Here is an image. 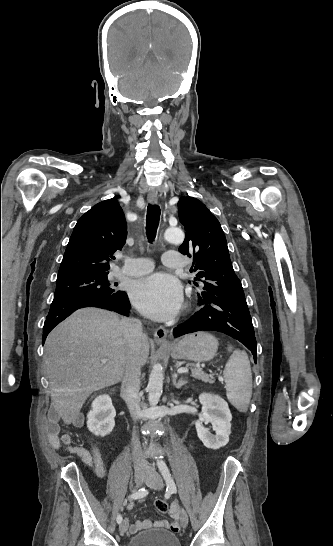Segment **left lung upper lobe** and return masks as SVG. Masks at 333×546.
<instances>
[{
	"label": "left lung upper lobe",
	"instance_id": "5c2ea615",
	"mask_svg": "<svg viewBox=\"0 0 333 546\" xmlns=\"http://www.w3.org/2000/svg\"><path fill=\"white\" fill-rule=\"evenodd\" d=\"M178 210L179 220L186 231L179 252L193 257L192 272H197L195 280H200L202 285L198 294L221 299L244 298L242 284L233 270L227 241L217 218L193 197H181Z\"/></svg>",
	"mask_w": 333,
	"mask_h": 546
}]
</instances>
